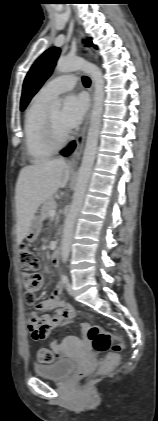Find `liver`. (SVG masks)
Instances as JSON below:
<instances>
[{"mask_svg": "<svg viewBox=\"0 0 158 421\" xmlns=\"http://www.w3.org/2000/svg\"><path fill=\"white\" fill-rule=\"evenodd\" d=\"M70 179V167L63 159L43 161L21 169L16 184L17 242L26 237L41 204Z\"/></svg>", "mask_w": 158, "mask_h": 421, "instance_id": "obj_1", "label": "liver"}]
</instances>
